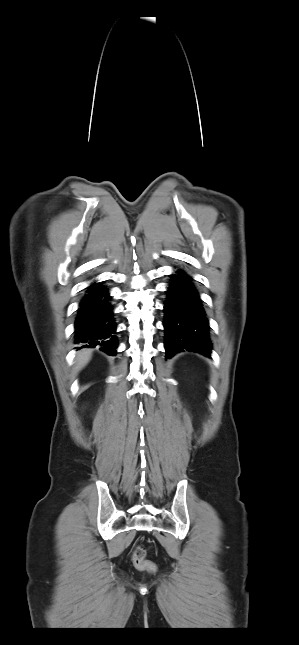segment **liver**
<instances>
[{"instance_id": "6515ba94", "label": "liver", "mask_w": 299, "mask_h": 645, "mask_svg": "<svg viewBox=\"0 0 299 645\" xmlns=\"http://www.w3.org/2000/svg\"><path fill=\"white\" fill-rule=\"evenodd\" d=\"M90 359H91L90 350L80 351L76 356V369L81 370L82 368H84Z\"/></svg>"}]
</instances>
